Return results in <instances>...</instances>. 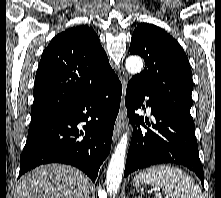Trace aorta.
Instances as JSON below:
<instances>
[{
    "mask_svg": "<svg viewBox=\"0 0 221 198\" xmlns=\"http://www.w3.org/2000/svg\"><path fill=\"white\" fill-rule=\"evenodd\" d=\"M125 67L129 73L138 74L143 68V61L139 56H130L126 60ZM127 144L128 135L125 133L117 144L107 170L106 188L110 194L116 192L121 184Z\"/></svg>",
    "mask_w": 221,
    "mask_h": 198,
    "instance_id": "762f6f07",
    "label": "aorta"
}]
</instances>
